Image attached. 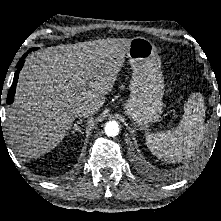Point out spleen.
<instances>
[{
	"instance_id": "1",
	"label": "spleen",
	"mask_w": 221,
	"mask_h": 221,
	"mask_svg": "<svg viewBox=\"0 0 221 221\" xmlns=\"http://www.w3.org/2000/svg\"><path fill=\"white\" fill-rule=\"evenodd\" d=\"M205 108L202 98L191 96L177 128L159 133H146L147 147L158 159L167 163L188 160L204 138Z\"/></svg>"
}]
</instances>
